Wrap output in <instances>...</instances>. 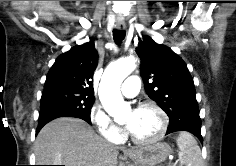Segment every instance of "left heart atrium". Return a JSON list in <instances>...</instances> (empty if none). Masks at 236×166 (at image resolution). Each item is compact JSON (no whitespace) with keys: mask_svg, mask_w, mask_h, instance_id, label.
Segmentation results:
<instances>
[{"mask_svg":"<svg viewBox=\"0 0 236 166\" xmlns=\"http://www.w3.org/2000/svg\"><path fill=\"white\" fill-rule=\"evenodd\" d=\"M134 124H135V116L131 119L130 122L127 123V129L131 132L134 128Z\"/></svg>","mask_w":236,"mask_h":166,"instance_id":"obj_1","label":"left heart atrium"}]
</instances>
